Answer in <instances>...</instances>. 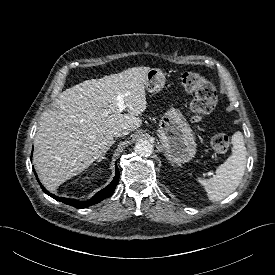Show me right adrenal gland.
Instances as JSON below:
<instances>
[{"label":"right adrenal gland","mask_w":275,"mask_h":275,"mask_svg":"<svg viewBox=\"0 0 275 275\" xmlns=\"http://www.w3.org/2000/svg\"><path fill=\"white\" fill-rule=\"evenodd\" d=\"M116 141L114 140L113 141V144L115 143ZM102 159H106V157L105 156H102V157H100L99 159H98V161H101Z\"/></svg>","instance_id":"1"}]
</instances>
